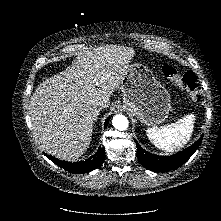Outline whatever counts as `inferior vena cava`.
I'll return each mask as SVG.
<instances>
[{
  "mask_svg": "<svg viewBox=\"0 0 221 221\" xmlns=\"http://www.w3.org/2000/svg\"><path fill=\"white\" fill-rule=\"evenodd\" d=\"M107 103H108V100L106 98H104V97L99 98V99L96 100V104L98 106H101V107H106Z\"/></svg>",
  "mask_w": 221,
  "mask_h": 221,
  "instance_id": "inferior-vena-cava-1",
  "label": "inferior vena cava"
}]
</instances>
